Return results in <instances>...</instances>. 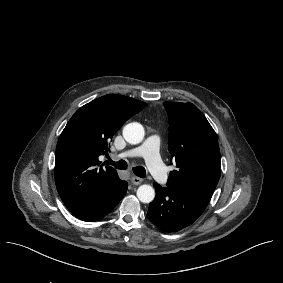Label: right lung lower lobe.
Returning a JSON list of instances; mask_svg holds the SVG:
<instances>
[{
    "label": "right lung lower lobe",
    "mask_w": 283,
    "mask_h": 283,
    "mask_svg": "<svg viewBox=\"0 0 283 283\" xmlns=\"http://www.w3.org/2000/svg\"><path fill=\"white\" fill-rule=\"evenodd\" d=\"M128 188L126 181H121L119 188L105 197L100 203L86 209L73 211L72 214L84 221H97L107 215L124 197Z\"/></svg>",
    "instance_id": "right-lung-lower-lobe-1"
}]
</instances>
